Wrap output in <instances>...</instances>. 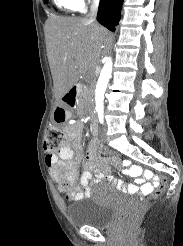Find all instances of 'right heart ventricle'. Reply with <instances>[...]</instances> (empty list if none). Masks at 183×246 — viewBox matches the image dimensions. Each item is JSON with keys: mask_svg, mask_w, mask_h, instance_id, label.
Instances as JSON below:
<instances>
[{"mask_svg": "<svg viewBox=\"0 0 183 246\" xmlns=\"http://www.w3.org/2000/svg\"><path fill=\"white\" fill-rule=\"evenodd\" d=\"M54 5L61 11L73 12L78 10L74 0H53Z\"/></svg>", "mask_w": 183, "mask_h": 246, "instance_id": "right-heart-ventricle-1", "label": "right heart ventricle"}]
</instances>
